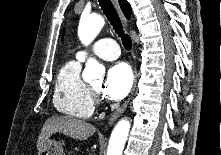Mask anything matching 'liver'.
Here are the masks:
<instances>
[{
    "label": "liver",
    "mask_w": 221,
    "mask_h": 155,
    "mask_svg": "<svg viewBox=\"0 0 221 155\" xmlns=\"http://www.w3.org/2000/svg\"><path fill=\"white\" fill-rule=\"evenodd\" d=\"M62 133L78 140H86L96 132L95 126L83 120L69 116H52L48 118L37 141L40 153L45 142L55 133Z\"/></svg>",
    "instance_id": "liver-1"
}]
</instances>
